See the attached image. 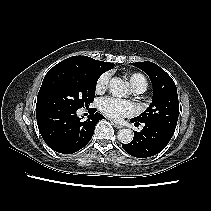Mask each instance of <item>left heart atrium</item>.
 <instances>
[{"label": "left heart atrium", "mask_w": 211, "mask_h": 211, "mask_svg": "<svg viewBox=\"0 0 211 211\" xmlns=\"http://www.w3.org/2000/svg\"><path fill=\"white\" fill-rule=\"evenodd\" d=\"M99 109L106 117L114 121L132 116L137 112V107L134 103L113 97L101 99Z\"/></svg>", "instance_id": "obj_1"}]
</instances>
